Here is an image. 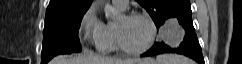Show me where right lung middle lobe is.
I'll return each mask as SVG.
<instances>
[{
  "instance_id": "1",
  "label": "right lung middle lobe",
  "mask_w": 242,
  "mask_h": 64,
  "mask_svg": "<svg viewBox=\"0 0 242 64\" xmlns=\"http://www.w3.org/2000/svg\"><path fill=\"white\" fill-rule=\"evenodd\" d=\"M84 14H61L45 18L41 64H46L59 54L81 52L78 33Z\"/></svg>"
}]
</instances>
